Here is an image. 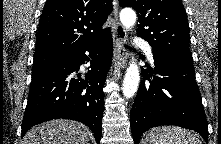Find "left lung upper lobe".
Segmentation results:
<instances>
[{
    "instance_id": "obj_1",
    "label": "left lung upper lobe",
    "mask_w": 221,
    "mask_h": 144,
    "mask_svg": "<svg viewBox=\"0 0 221 144\" xmlns=\"http://www.w3.org/2000/svg\"><path fill=\"white\" fill-rule=\"evenodd\" d=\"M138 12L137 34L157 55L192 63L189 24L181 0H119Z\"/></svg>"
}]
</instances>
